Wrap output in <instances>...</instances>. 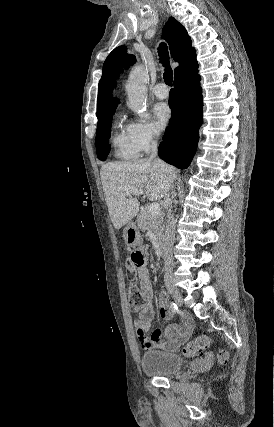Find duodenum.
<instances>
[{
	"label": "duodenum",
	"instance_id": "obj_1",
	"mask_svg": "<svg viewBox=\"0 0 274 427\" xmlns=\"http://www.w3.org/2000/svg\"><path fill=\"white\" fill-rule=\"evenodd\" d=\"M157 253H158V255L160 257H164L165 256V246H164V244L162 242L158 244Z\"/></svg>",
	"mask_w": 274,
	"mask_h": 427
}]
</instances>
